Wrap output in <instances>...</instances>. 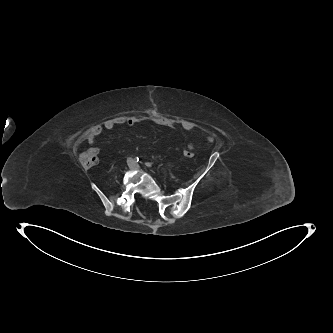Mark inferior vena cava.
Returning <instances> with one entry per match:
<instances>
[{
	"instance_id": "602c4592",
	"label": "inferior vena cava",
	"mask_w": 333,
	"mask_h": 333,
	"mask_svg": "<svg viewBox=\"0 0 333 333\" xmlns=\"http://www.w3.org/2000/svg\"><path fill=\"white\" fill-rule=\"evenodd\" d=\"M132 161H133V159H132L131 157H128V158H127V163H128L129 166H131V162H132Z\"/></svg>"
}]
</instances>
